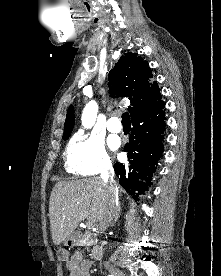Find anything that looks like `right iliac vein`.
Wrapping results in <instances>:
<instances>
[{
  "mask_svg": "<svg viewBox=\"0 0 221 276\" xmlns=\"http://www.w3.org/2000/svg\"><path fill=\"white\" fill-rule=\"evenodd\" d=\"M112 276H117V274H114V275H112Z\"/></svg>",
  "mask_w": 221,
  "mask_h": 276,
  "instance_id": "1",
  "label": "right iliac vein"
}]
</instances>
